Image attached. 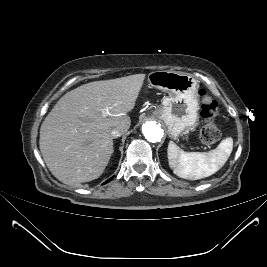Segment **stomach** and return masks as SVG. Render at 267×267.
I'll list each match as a JSON object with an SVG mask.
<instances>
[{
	"instance_id": "0dacf381",
	"label": "stomach",
	"mask_w": 267,
	"mask_h": 267,
	"mask_svg": "<svg viewBox=\"0 0 267 267\" xmlns=\"http://www.w3.org/2000/svg\"><path fill=\"white\" fill-rule=\"evenodd\" d=\"M148 79L166 93L154 115L165 123L169 136L178 139L199 119L198 81L190 74L174 71H155Z\"/></svg>"
}]
</instances>
